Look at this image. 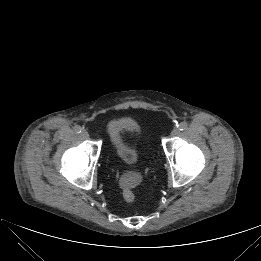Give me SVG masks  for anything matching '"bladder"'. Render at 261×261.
Instances as JSON below:
<instances>
[{"label": "bladder", "mask_w": 261, "mask_h": 261, "mask_svg": "<svg viewBox=\"0 0 261 261\" xmlns=\"http://www.w3.org/2000/svg\"><path fill=\"white\" fill-rule=\"evenodd\" d=\"M109 131L117 160L128 167L138 165L143 157L139 142V124L132 118L121 117L110 124Z\"/></svg>", "instance_id": "31cf9c89"}]
</instances>
